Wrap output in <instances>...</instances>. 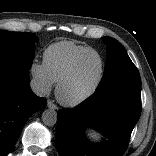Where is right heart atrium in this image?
Here are the masks:
<instances>
[{"label": "right heart atrium", "instance_id": "right-heart-atrium-1", "mask_svg": "<svg viewBox=\"0 0 156 156\" xmlns=\"http://www.w3.org/2000/svg\"><path fill=\"white\" fill-rule=\"evenodd\" d=\"M30 75L34 81L36 89L40 93H48L51 91L54 82L50 78L43 63L33 62L30 66Z\"/></svg>", "mask_w": 156, "mask_h": 156}]
</instances>
